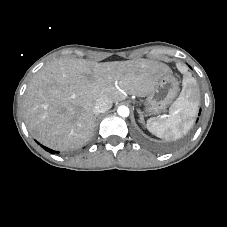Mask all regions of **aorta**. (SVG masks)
<instances>
[{"mask_svg":"<svg viewBox=\"0 0 227 227\" xmlns=\"http://www.w3.org/2000/svg\"><path fill=\"white\" fill-rule=\"evenodd\" d=\"M117 113L121 117H128L130 114L129 108L125 105H121L117 109Z\"/></svg>","mask_w":227,"mask_h":227,"instance_id":"aorta-1","label":"aorta"}]
</instances>
